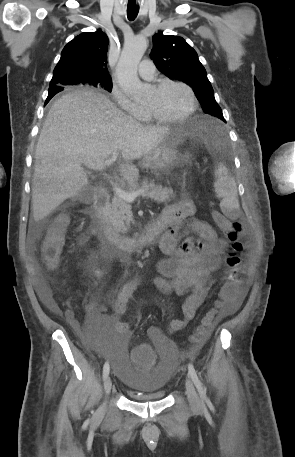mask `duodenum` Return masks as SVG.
Wrapping results in <instances>:
<instances>
[{
  "mask_svg": "<svg viewBox=\"0 0 295 457\" xmlns=\"http://www.w3.org/2000/svg\"><path fill=\"white\" fill-rule=\"evenodd\" d=\"M110 195L105 189L95 193L93 206L84 213L90 218L95 232L104 249L111 254H124L139 251L151 245L163 233V223L158 218L145 227L138 238L123 237L116 234L108 221L107 210Z\"/></svg>",
  "mask_w": 295,
  "mask_h": 457,
  "instance_id": "410a0bca",
  "label": "duodenum"
}]
</instances>
